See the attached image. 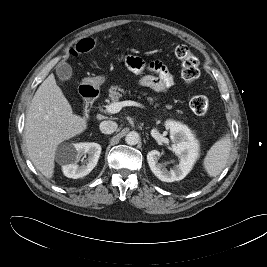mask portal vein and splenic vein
<instances>
[{"label":"portal vein and splenic vein","mask_w":267,"mask_h":267,"mask_svg":"<svg viewBox=\"0 0 267 267\" xmlns=\"http://www.w3.org/2000/svg\"><path fill=\"white\" fill-rule=\"evenodd\" d=\"M125 106H135L139 108H144V105H142L141 103L128 100V101L111 103L110 105L106 106V111L108 113L115 114L118 113Z\"/></svg>","instance_id":"obj_1"}]
</instances>
